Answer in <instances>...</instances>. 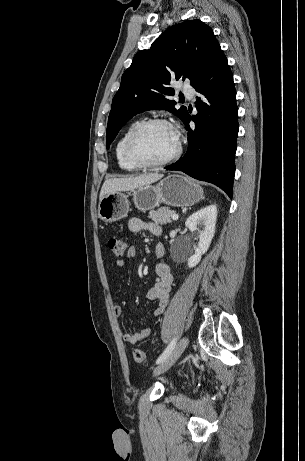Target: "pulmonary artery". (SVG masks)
Returning a JSON list of instances; mask_svg holds the SVG:
<instances>
[{"label":"pulmonary artery","instance_id":"1","mask_svg":"<svg viewBox=\"0 0 305 461\" xmlns=\"http://www.w3.org/2000/svg\"><path fill=\"white\" fill-rule=\"evenodd\" d=\"M183 92L190 99H192L194 97V95H195V90L192 87L188 86V85L183 86Z\"/></svg>","mask_w":305,"mask_h":461}]
</instances>
